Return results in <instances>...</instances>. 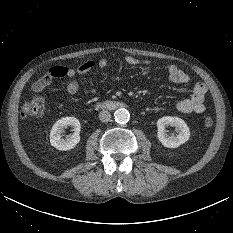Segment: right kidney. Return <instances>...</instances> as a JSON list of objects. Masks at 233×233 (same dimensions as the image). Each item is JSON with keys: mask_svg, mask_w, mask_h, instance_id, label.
Returning a JSON list of instances; mask_svg holds the SVG:
<instances>
[{"mask_svg": "<svg viewBox=\"0 0 233 233\" xmlns=\"http://www.w3.org/2000/svg\"><path fill=\"white\" fill-rule=\"evenodd\" d=\"M66 126H72L74 133L66 139L62 138V131ZM81 125L75 117H64L54 123L50 131V143L58 150L66 151L73 149L80 141Z\"/></svg>", "mask_w": 233, "mask_h": 233, "instance_id": "right-kidney-1", "label": "right kidney"}]
</instances>
